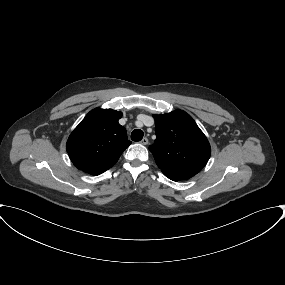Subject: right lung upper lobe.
Segmentation results:
<instances>
[{
    "label": "right lung upper lobe",
    "mask_w": 285,
    "mask_h": 285,
    "mask_svg": "<svg viewBox=\"0 0 285 285\" xmlns=\"http://www.w3.org/2000/svg\"><path fill=\"white\" fill-rule=\"evenodd\" d=\"M122 113L91 110L68 138L66 148L73 164L83 172L99 175L111 168L131 144L118 123Z\"/></svg>",
    "instance_id": "1"
}]
</instances>
